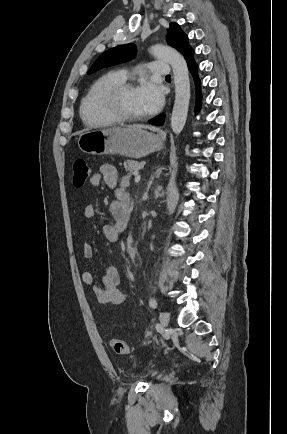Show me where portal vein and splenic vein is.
Wrapping results in <instances>:
<instances>
[{"mask_svg": "<svg viewBox=\"0 0 287 434\" xmlns=\"http://www.w3.org/2000/svg\"><path fill=\"white\" fill-rule=\"evenodd\" d=\"M134 175H135V182L138 183L141 180V175L138 172H136Z\"/></svg>", "mask_w": 287, "mask_h": 434, "instance_id": "portal-vein-and-splenic-vein-1", "label": "portal vein and splenic vein"}]
</instances>
